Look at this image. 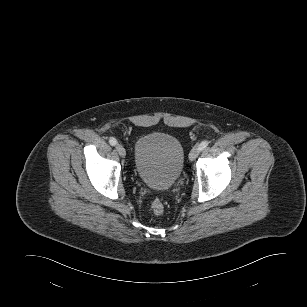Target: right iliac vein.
<instances>
[{"label":"right iliac vein","instance_id":"obj_1","mask_svg":"<svg viewBox=\"0 0 307 307\" xmlns=\"http://www.w3.org/2000/svg\"><path fill=\"white\" fill-rule=\"evenodd\" d=\"M116 150L121 157H125L126 151H125V148L121 144H117Z\"/></svg>","mask_w":307,"mask_h":307}]
</instances>
